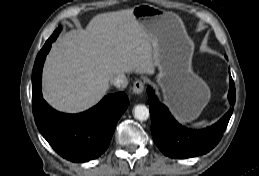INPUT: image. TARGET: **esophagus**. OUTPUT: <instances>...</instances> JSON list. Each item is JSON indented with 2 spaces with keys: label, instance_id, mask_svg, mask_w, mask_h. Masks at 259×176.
<instances>
[{
  "label": "esophagus",
  "instance_id": "obj_1",
  "mask_svg": "<svg viewBox=\"0 0 259 176\" xmlns=\"http://www.w3.org/2000/svg\"><path fill=\"white\" fill-rule=\"evenodd\" d=\"M144 88H145L144 82L141 80H136L133 84L132 90L135 94H141L144 91Z\"/></svg>",
  "mask_w": 259,
  "mask_h": 176
}]
</instances>
